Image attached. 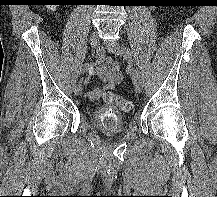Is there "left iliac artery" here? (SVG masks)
Masks as SVG:
<instances>
[{"label":"left iliac artery","mask_w":217,"mask_h":197,"mask_svg":"<svg viewBox=\"0 0 217 197\" xmlns=\"http://www.w3.org/2000/svg\"><path fill=\"white\" fill-rule=\"evenodd\" d=\"M121 50L123 51V53L125 54L126 57L131 58V51L128 47L124 46V45H120Z\"/></svg>","instance_id":"1"}]
</instances>
